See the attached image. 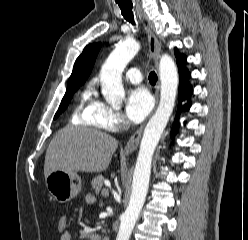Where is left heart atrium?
I'll return each mask as SVG.
<instances>
[{"instance_id": "obj_1", "label": "left heart atrium", "mask_w": 248, "mask_h": 240, "mask_svg": "<svg viewBox=\"0 0 248 240\" xmlns=\"http://www.w3.org/2000/svg\"><path fill=\"white\" fill-rule=\"evenodd\" d=\"M153 99L144 87H136L129 91L126 102V115L133 123L141 122L151 111Z\"/></svg>"}]
</instances>
